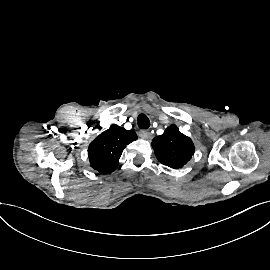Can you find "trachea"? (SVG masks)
<instances>
[{"label": "trachea", "instance_id": "3493384b", "mask_svg": "<svg viewBox=\"0 0 270 270\" xmlns=\"http://www.w3.org/2000/svg\"><path fill=\"white\" fill-rule=\"evenodd\" d=\"M137 121L140 129H146L150 127L149 118L145 114H140Z\"/></svg>", "mask_w": 270, "mask_h": 270}]
</instances>
